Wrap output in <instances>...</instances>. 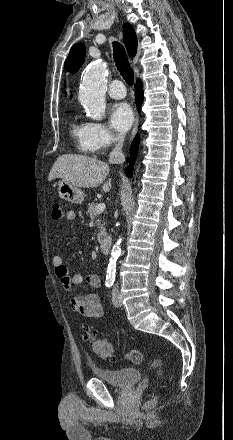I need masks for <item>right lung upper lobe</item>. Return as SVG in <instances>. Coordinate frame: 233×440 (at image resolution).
Instances as JSON below:
<instances>
[{
    "instance_id": "cb5924a9",
    "label": "right lung upper lobe",
    "mask_w": 233,
    "mask_h": 440,
    "mask_svg": "<svg viewBox=\"0 0 233 440\" xmlns=\"http://www.w3.org/2000/svg\"><path fill=\"white\" fill-rule=\"evenodd\" d=\"M123 39L126 45V49L131 58L136 55L137 52V36L132 26L128 23L123 25ZM85 58V45L78 43L74 45L68 57L65 60L64 68L67 72L74 74L78 71Z\"/></svg>"
}]
</instances>
